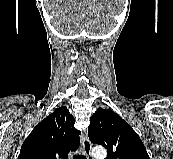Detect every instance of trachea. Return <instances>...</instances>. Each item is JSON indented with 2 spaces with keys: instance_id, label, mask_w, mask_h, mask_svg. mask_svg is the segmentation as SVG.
I'll list each match as a JSON object with an SVG mask.
<instances>
[{
  "instance_id": "trachea-1",
  "label": "trachea",
  "mask_w": 173,
  "mask_h": 159,
  "mask_svg": "<svg viewBox=\"0 0 173 159\" xmlns=\"http://www.w3.org/2000/svg\"><path fill=\"white\" fill-rule=\"evenodd\" d=\"M73 159H87V158L83 154H77L73 157Z\"/></svg>"
}]
</instances>
